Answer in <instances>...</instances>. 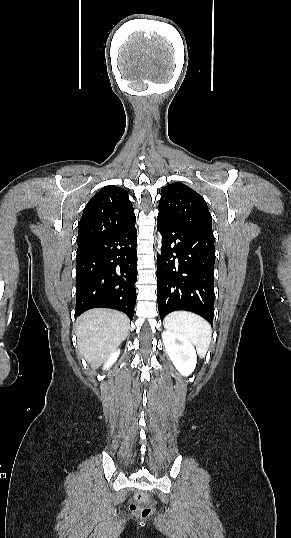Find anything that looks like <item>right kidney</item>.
Instances as JSON below:
<instances>
[{"label": "right kidney", "mask_w": 291, "mask_h": 538, "mask_svg": "<svg viewBox=\"0 0 291 538\" xmlns=\"http://www.w3.org/2000/svg\"><path fill=\"white\" fill-rule=\"evenodd\" d=\"M119 354H120L119 350L112 352L104 364V369H108L109 367H111L112 364H114L115 361L117 360Z\"/></svg>", "instance_id": "ca27d5eb"}]
</instances>
